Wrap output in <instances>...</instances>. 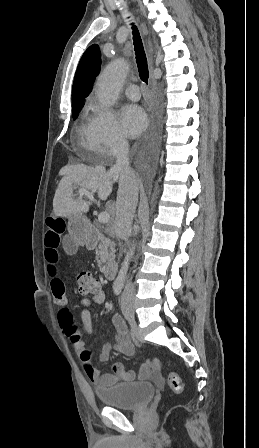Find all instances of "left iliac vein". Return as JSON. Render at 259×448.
<instances>
[{
  "instance_id": "obj_1",
  "label": "left iliac vein",
  "mask_w": 259,
  "mask_h": 448,
  "mask_svg": "<svg viewBox=\"0 0 259 448\" xmlns=\"http://www.w3.org/2000/svg\"><path fill=\"white\" fill-rule=\"evenodd\" d=\"M122 313L127 320L134 319V305L131 301L126 299H122Z\"/></svg>"
}]
</instances>
